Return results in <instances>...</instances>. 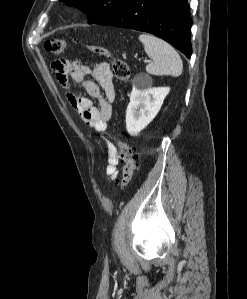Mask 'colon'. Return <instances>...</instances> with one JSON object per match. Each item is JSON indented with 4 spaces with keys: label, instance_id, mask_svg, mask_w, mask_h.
Masks as SVG:
<instances>
[{
    "label": "colon",
    "instance_id": "colon-1",
    "mask_svg": "<svg viewBox=\"0 0 247 299\" xmlns=\"http://www.w3.org/2000/svg\"><path fill=\"white\" fill-rule=\"evenodd\" d=\"M67 42L61 38H50L45 41L44 48L48 53L60 55L64 52ZM86 47L95 55L99 57H106L111 60L110 73L112 77L120 80L127 81L130 77L129 65L121 58L113 56L107 49L99 45H86ZM114 142L119 148L120 158L123 162L122 178L119 181L121 189L126 188L136 170V156L130 144H128L121 136L116 135Z\"/></svg>",
    "mask_w": 247,
    "mask_h": 299
}]
</instances>
